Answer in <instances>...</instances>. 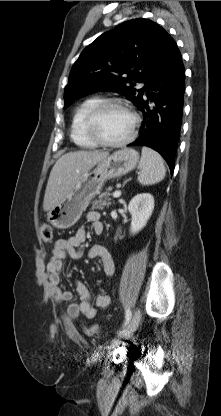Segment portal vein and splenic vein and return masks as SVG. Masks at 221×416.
<instances>
[{"mask_svg": "<svg viewBox=\"0 0 221 416\" xmlns=\"http://www.w3.org/2000/svg\"><path fill=\"white\" fill-rule=\"evenodd\" d=\"M121 196V192L120 191H115L114 193H113V197L114 198H118V197H120Z\"/></svg>", "mask_w": 221, "mask_h": 416, "instance_id": "portal-vein-and-splenic-vein-1", "label": "portal vein and splenic vein"}]
</instances>
